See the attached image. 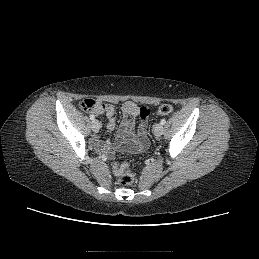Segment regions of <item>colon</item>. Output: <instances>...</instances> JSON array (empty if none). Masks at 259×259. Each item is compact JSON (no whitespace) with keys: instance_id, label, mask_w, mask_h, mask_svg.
<instances>
[{"instance_id":"colon-1","label":"colon","mask_w":259,"mask_h":259,"mask_svg":"<svg viewBox=\"0 0 259 259\" xmlns=\"http://www.w3.org/2000/svg\"><path fill=\"white\" fill-rule=\"evenodd\" d=\"M105 104L97 102L92 99H85L80 103L82 109L86 111L97 110L104 107ZM173 112V107L169 104H163L157 109V113L160 115H168ZM150 114V110L147 107H140V116L143 119H147ZM113 172L119 178V182L122 185H131L134 182V175L130 169V164L125 161L122 163L114 162L112 164Z\"/></svg>"}]
</instances>
